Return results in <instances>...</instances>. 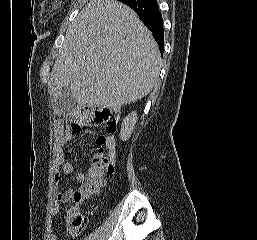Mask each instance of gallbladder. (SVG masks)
<instances>
[{
  "label": "gallbladder",
  "mask_w": 257,
  "mask_h": 240,
  "mask_svg": "<svg viewBox=\"0 0 257 240\" xmlns=\"http://www.w3.org/2000/svg\"><path fill=\"white\" fill-rule=\"evenodd\" d=\"M54 111L59 116H67L76 108V99L70 90L65 89L63 94L54 102Z\"/></svg>",
  "instance_id": "gallbladder-1"
}]
</instances>
